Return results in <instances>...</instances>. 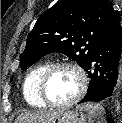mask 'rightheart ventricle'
<instances>
[{"label": "right heart ventricle", "mask_w": 122, "mask_h": 123, "mask_svg": "<svg viewBox=\"0 0 122 123\" xmlns=\"http://www.w3.org/2000/svg\"><path fill=\"white\" fill-rule=\"evenodd\" d=\"M50 62H43L33 67L25 77L23 96L27 104L34 108H45V103L39 96V83L45 71L51 66Z\"/></svg>", "instance_id": "obj_1"}]
</instances>
